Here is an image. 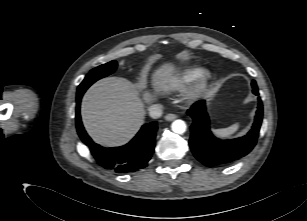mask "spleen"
<instances>
[{"label":"spleen","instance_id":"obj_1","mask_svg":"<svg viewBox=\"0 0 307 221\" xmlns=\"http://www.w3.org/2000/svg\"><path fill=\"white\" fill-rule=\"evenodd\" d=\"M239 129V124L235 123L227 128L213 129V133L219 138H229Z\"/></svg>","mask_w":307,"mask_h":221}]
</instances>
